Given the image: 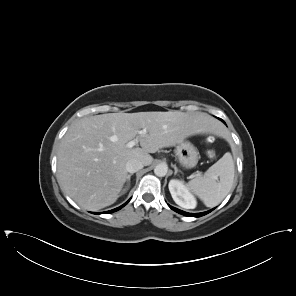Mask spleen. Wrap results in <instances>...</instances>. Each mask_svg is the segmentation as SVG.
I'll list each match as a JSON object with an SVG mask.
<instances>
[{"instance_id":"obj_1","label":"spleen","mask_w":296,"mask_h":296,"mask_svg":"<svg viewBox=\"0 0 296 296\" xmlns=\"http://www.w3.org/2000/svg\"><path fill=\"white\" fill-rule=\"evenodd\" d=\"M234 161L231 153H225L203 176L188 182V188L207 207L217 206L229 193L234 180Z\"/></svg>"}]
</instances>
